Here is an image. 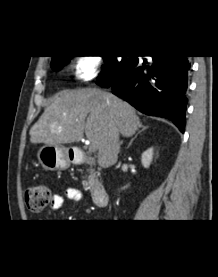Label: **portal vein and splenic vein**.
<instances>
[{"mask_svg":"<svg viewBox=\"0 0 218 277\" xmlns=\"http://www.w3.org/2000/svg\"><path fill=\"white\" fill-rule=\"evenodd\" d=\"M89 145V151L94 152L96 151V146L94 144H90V142L87 143Z\"/></svg>","mask_w":218,"mask_h":277,"instance_id":"obj_1","label":"portal vein and splenic vein"}]
</instances>
